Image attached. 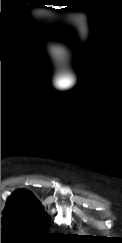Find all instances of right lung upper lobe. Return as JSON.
<instances>
[{
  "label": "right lung upper lobe",
  "mask_w": 122,
  "mask_h": 243,
  "mask_svg": "<svg viewBox=\"0 0 122 243\" xmlns=\"http://www.w3.org/2000/svg\"><path fill=\"white\" fill-rule=\"evenodd\" d=\"M8 202H20L35 208L42 209V206L38 200L32 193L27 190H16L12 196L8 198Z\"/></svg>",
  "instance_id": "obj_1"
}]
</instances>
